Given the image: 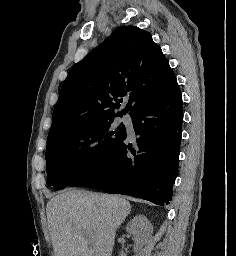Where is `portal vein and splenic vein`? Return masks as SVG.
<instances>
[{"instance_id":"1","label":"portal vein and splenic vein","mask_w":236,"mask_h":256,"mask_svg":"<svg viewBox=\"0 0 236 256\" xmlns=\"http://www.w3.org/2000/svg\"><path fill=\"white\" fill-rule=\"evenodd\" d=\"M84 238H86L87 242H89L90 238H89L87 232H84Z\"/></svg>"}]
</instances>
